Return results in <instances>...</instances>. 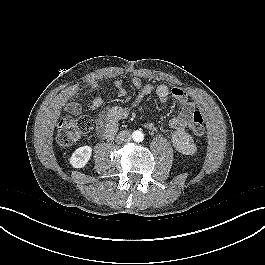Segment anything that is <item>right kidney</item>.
I'll list each match as a JSON object with an SVG mask.
<instances>
[{"label": "right kidney", "instance_id": "right-kidney-1", "mask_svg": "<svg viewBox=\"0 0 265 265\" xmlns=\"http://www.w3.org/2000/svg\"><path fill=\"white\" fill-rule=\"evenodd\" d=\"M92 148L90 146H82L76 149L69 159V163L74 168H83L90 160Z\"/></svg>", "mask_w": 265, "mask_h": 265}]
</instances>
